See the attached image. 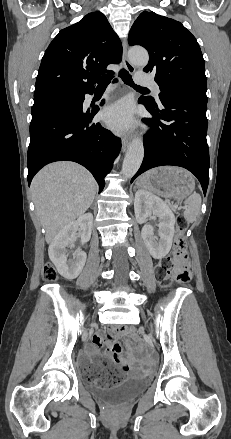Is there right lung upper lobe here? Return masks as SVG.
I'll return each mask as SVG.
<instances>
[{"mask_svg": "<svg viewBox=\"0 0 231 439\" xmlns=\"http://www.w3.org/2000/svg\"><path fill=\"white\" fill-rule=\"evenodd\" d=\"M122 59V44L100 12L62 29L48 46L38 71L34 98L52 93L82 94L109 64Z\"/></svg>", "mask_w": 231, "mask_h": 439, "instance_id": "1", "label": "right lung upper lobe"}]
</instances>
